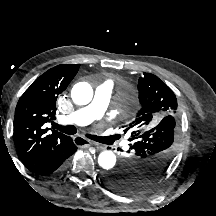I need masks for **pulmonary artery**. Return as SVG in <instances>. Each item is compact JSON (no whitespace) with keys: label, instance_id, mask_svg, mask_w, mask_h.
Segmentation results:
<instances>
[{"label":"pulmonary artery","instance_id":"1","mask_svg":"<svg viewBox=\"0 0 216 216\" xmlns=\"http://www.w3.org/2000/svg\"><path fill=\"white\" fill-rule=\"evenodd\" d=\"M113 88L112 81L101 83L95 89L93 100L88 105L65 116L64 122L70 125H87L94 120L101 119L108 107Z\"/></svg>","mask_w":216,"mask_h":216}]
</instances>
